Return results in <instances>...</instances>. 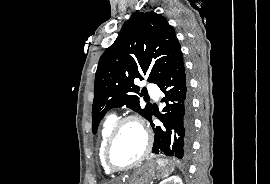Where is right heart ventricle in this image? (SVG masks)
Here are the masks:
<instances>
[{
	"mask_svg": "<svg viewBox=\"0 0 270 184\" xmlns=\"http://www.w3.org/2000/svg\"><path fill=\"white\" fill-rule=\"evenodd\" d=\"M117 121L116 116L114 114H109L105 117L102 126H101V131H100V143H99V159L101 162V165L104 169V171L106 173H111L112 171H110L103 160V151H104V147L107 141V138L115 124V122Z\"/></svg>",
	"mask_w": 270,
	"mask_h": 184,
	"instance_id": "e07e8e85",
	"label": "right heart ventricle"
}]
</instances>
